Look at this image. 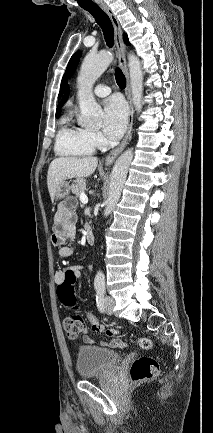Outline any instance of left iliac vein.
Returning a JSON list of instances; mask_svg holds the SVG:
<instances>
[{
	"label": "left iliac vein",
	"instance_id": "obj_1",
	"mask_svg": "<svg viewBox=\"0 0 213 433\" xmlns=\"http://www.w3.org/2000/svg\"><path fill=\"white\" fill-rule=\"evenodd\" d=\"M115 301L112 297L107 296L105 298V311L107 314L111 315L113 313Z\"/></svg>",
	"mask_w": 213,
	"mask_h": 433
}]
</instances>
